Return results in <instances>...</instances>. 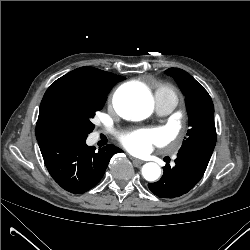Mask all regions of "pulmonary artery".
Here are the masks:
<instances>
[{
  "instance_id": "e3ab8cb5",
  "label": "pulmonary artery",
  "mask_w": 250,
  "mask_h": 250,
  "mask_svg": "<svg viewBox=\"0 0 250 250\" xmlns=\"http://www.w3.org/2000/svg\"><path fill=\"white\" fill-rule=\"evenodd\" d=\"M175 105L171 102H157L155 105L156 113L164 116L172 112Z\"/></svg>"
}]
</instances>
